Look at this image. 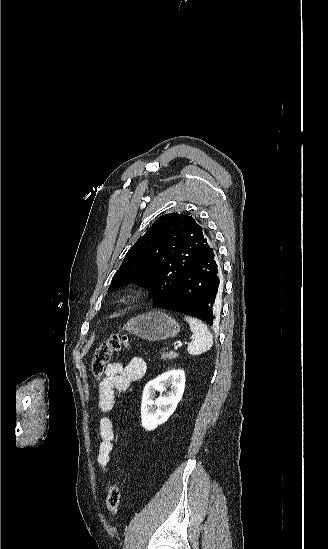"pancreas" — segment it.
<instances>
[{
    "label": "pancreas",
    "instance_id": "cf45deb5",
    "mask_svg": "<svg viewBox=\"0 0 328 549\" xmlns=\"http://www.w3.org/2000/svg\"><path fill=\"white\" fill-rule=\"evenodd\" d=\"M178 353H174V351H170V353H162L161 359L163 361H171V359H177Z\"/></svg>",
    "mask_w": 328,
    "mask_h": 549
}]
</instances>
